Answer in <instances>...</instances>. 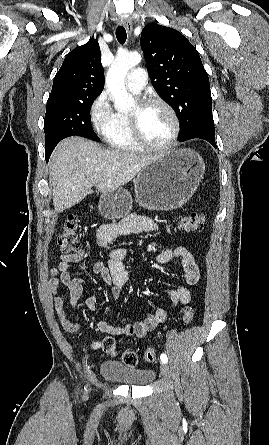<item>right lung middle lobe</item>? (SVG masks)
<instances>
[{"instance_id":"obj_1","label":"right lung middle lobe","mask_w":269,"mask_h":445,"mask_svg":"<svg viewBox=\"0 0 269 445\" xmlns=\"http://www.w3.org/2000/svg\"><path fill=\"white\" fill-rule=\"evenodd\" d=\"M97 97L98 95L48 98L44 119L47 161L55 146L68 136L77 135L94 141L100 140L91 126L89 117L91 105Z\"/></svg>"}]
</instances>
